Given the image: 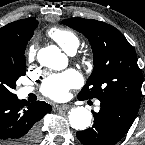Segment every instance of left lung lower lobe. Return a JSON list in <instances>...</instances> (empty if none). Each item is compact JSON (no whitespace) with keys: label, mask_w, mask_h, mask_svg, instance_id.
<instances>
[{"label":"left lung lower lobe","mask_w":145,"mask_h":145,"mask_svg":"<svg viewBox=\"0 0 145 145\" xmlns=\"http://www.w3.org/2000/svg\"><path fill=\"white\" fill-rule=\"evenodd\" d=\"M100 111L93 112L91 128L76 133L84 145H115L129 130L138 109L119 102H101Z\"/></svg>","instance_id":"obj_1"}]
</instances>
